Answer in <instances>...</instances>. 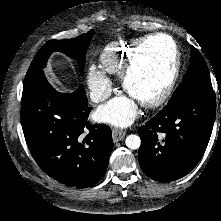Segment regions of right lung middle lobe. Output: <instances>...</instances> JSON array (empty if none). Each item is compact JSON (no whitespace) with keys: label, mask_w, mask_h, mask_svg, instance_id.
I'll return each mask as SVG.
<instances>
[{"label":"right lung middle lobe","mask_w":221,"mask_h":221,"mask_svg":"<svg viewBox=\"0 0 221 221\" xmlns=\"http://www.w3.org/2000/svg\"><path fill=\"white\" fill-rule=\"evenodd\" d=\"M94 31L91 30L87 34H82L73 39L67 40H50L46 42L34 57L30 68L27 71L24 86H28L40 74H43V68L50 54L54 51L63 52L69 57L78 60L80 72L83 74L85 65L86 51L92 39Z\"/></svg>","instance_id":"dd1d6c3e"}]
</instances>
